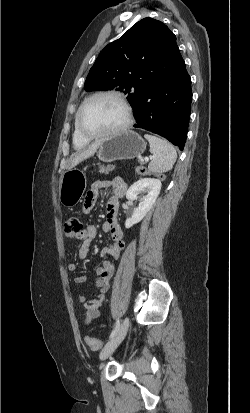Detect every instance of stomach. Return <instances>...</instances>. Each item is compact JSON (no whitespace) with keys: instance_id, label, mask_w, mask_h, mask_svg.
<instances>
[{"instance_id":"0dacf381","label":"stomach","mask_w":250,"mask_h":413,"mask_svg":"<svg viewBox=\"0 0 250 413\" xmlns=\"http://www.w3.org/2000/svg\"><path fill=\"white\" fill-rule=\"evenodd\" d=\"M146 149L144 139L134 131H124L101 140L97 157L103 162L127 160L141 156ZM86 189L83 172L70 169L64 173L59 188V200L65 207L72 208L82 198Z\"/></svg>"}]
</instances>
